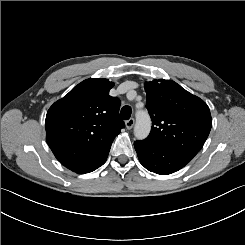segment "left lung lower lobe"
Listing matches in <instances>:
<instances>
[{"label": "left lung lower lobe", "mask_w": 245, "mask_h": 245, "mask_svg": "<svg viewBox=\"0 0 245 245\" xmlns=\"http://www.w3.org/2000/svg\"><path fill=\"white\" fill-rule=\"evenodd\" d=\"M134 147L140 163L149 171L160 175L174 173L190 162L174 151L151 146L143 141L134 142Z\"/></svg>", "instance_id": "left-lung-lower-lobe-1"}]
</instances>
